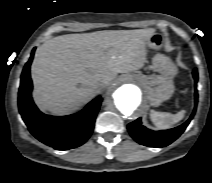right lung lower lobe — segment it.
Instances as JSON below:
<instances>
[{"instance_id": "right-lung-lower-lobe-1", "label": "right lung lower lobe", "mask_w": 212, "mask_h": 183, "mask_svg": "<svg viewBox=\"0 0 212 183\" xmlns=\"http://www.w3.org/2000/svg\"><path fill=\"white\" fill-rule=\"evenodd\" d=\"M34 52L35 48L21 75L18 94L20 114L31 134L39 141L56 150L76 148L90 137L102 98L97 97L75 115L56 117L40 112L31 98L30 65Z\"/></svg>"}]
</instances>
